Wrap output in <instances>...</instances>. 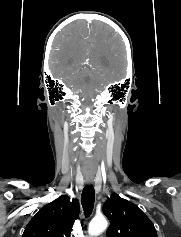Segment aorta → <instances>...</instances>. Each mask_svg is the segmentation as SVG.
Here are the masks:
<instances>
[{
	"label": "aorta",
	"instance_id": "aorta-1",
	"mask_svg": "<svg viewBox=\"0 0 181 237\" xmlns=\"http://www.w3.org/2000/svg\"><path fill=\"white\" fill-rule=\"evenodd\" d=\"M107 220L103 217H95L89 224L88 233L91 236H97L107 228Z\"/></svg>",
	"mask_w": 181,
	"mask_h": 237
}]
</instances>
